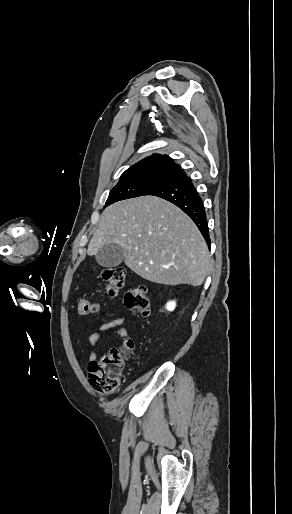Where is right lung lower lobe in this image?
<instances>
[{
    "label": "right lung lower lobe",
    "instance_id": "1",
    "mask_svg": "<svg viewBox=\"0 0 292 514\" xmlns=\"http://www.w3.org/2000/svg\"><path fill=\"white\" fill-rule=\"evenodd\" d=\"M144 195L163 198L183 210L194 221L210 248L211 241L202 199L183 170L170 175Z\"/></svg>",
    "mask_w": 292,
    "mask_h": 514
}]
</instances>
